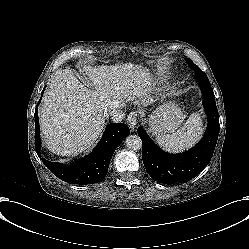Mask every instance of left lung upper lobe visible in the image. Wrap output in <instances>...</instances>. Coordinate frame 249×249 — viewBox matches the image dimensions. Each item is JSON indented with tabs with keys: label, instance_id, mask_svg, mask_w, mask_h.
Segmentation results:
<instances>
[{
	"label": "left lung upper lobe",
	"instance_id": "5c2ea615",
	"mask_svg": "<svg viewBox=\"0 0 249 249\" xmlns=\"http://www.w3.org/2000/svg\"><path fill=\"white\" fill-rule=\"evenodd\" d=\"M187 63L189 67L196 72V78L198 80H208L206 74L197 66L195 65L192 60L187 59Z\"/></svg>",
	"mask_w": 249,
	"mask_h": 249
}]
</instances>
